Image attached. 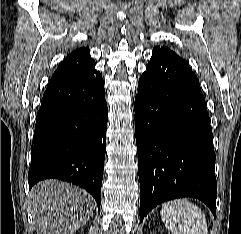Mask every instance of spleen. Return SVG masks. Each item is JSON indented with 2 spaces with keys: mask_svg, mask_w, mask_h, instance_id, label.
<instances>
[{
  "mask_svg": "<svg viewBox=\"0 0 241 234\" xmlns=\"http://www.w3.org/2000/svg\"><path fill=\"white\" fill-rule=\"evenodd\" d=\"M160 214L172 234H208L205 214L186 198L164 203Z\"/></svg>",
  "mask_w": 241,
  "mask_h": 234,
  "instance_id": "3e777b00",
  "label": "spleen"
}]
</instances>
